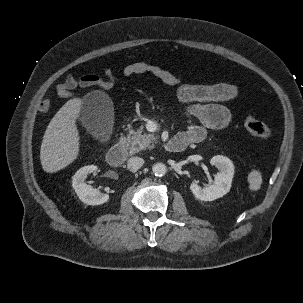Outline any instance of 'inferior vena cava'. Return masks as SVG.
I'll use <instances>...</instances> for the list:
<instances>
[{
    "instance_id": "inferior-vena-cava-1",
    "label": "inferior vena cava",
    "mask_w": 303,
    "mask_h": 303,
    "mask_svg": "<svg viewBox=\"0 0 303 303\" xmlns=\"http://www.w3.org/2000/svg\"><path fill=\"white\" fill-rule=\"evenodd\" d=\"M144 164V159L140 157H131L127 162V168L130 171H137Z\"/></svg>"
}]
</instances>
